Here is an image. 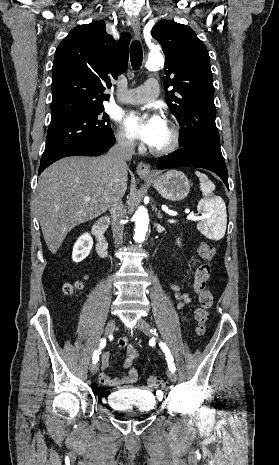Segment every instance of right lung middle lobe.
I'll return each instance as SVG.
<instances>
[{"instance_id": "obj_1", "label": "right lung middle lobe", "mask_w": 279, "mask_h": 465, "mask_svg": "<svg viewBox=\"0 0 279 465\" xmlns=\"http://www.w3.org/2000/svg\"><path fill=\"white\" fill-rule=\"evenodd\" d=\"M103 106L91 109L77 116L50 124L46 146L41 163L49 160L63 150L79 143H101L114 137L109 117L103 112Z\"/></svg>"}]
</instances>
